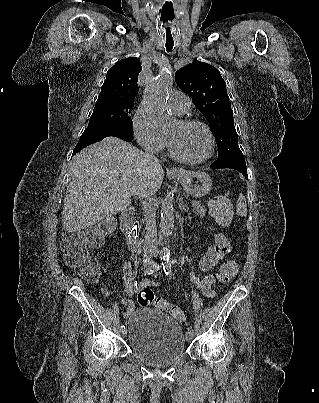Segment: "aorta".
<instances>
[{
    "mask_svg": "<svg viewBox=\"0 0 319 403\" xmlns=\"http://www.w3.org/2000/svg\"><path fill=\"white\" fill-rule=\"evenodd\" d=\"M173 77L170 71H162L155 79L148 83L144 92V108L149 119L156 127H163L169 120L167 99ZM160 229L163 235L172 234L174 229L173 197L167 196L161 202ZM165 253L168 254V249Z\"/></svg>",
    "mask_w": 319,
    "mask_h": 403,
    "instance_id": "1",
    "label": "aorta"
}]
</instances>
